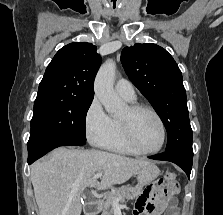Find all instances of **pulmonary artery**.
<instances>
[{"instance_id":"pulmonary-artery-1","label":"pulmonary artery","mask_w":223,"mask_h":215,"mask_svg":"<svg viewBox=\"0 0 223 215\" xmlns=\"http://www.w3.org/2000/svg\"><path fill=\"white\" fill-rule=\"evenodd\" d=\"M115 91L128 101H134L136 99L133 85L124 78H120L116 81Z\"/></svg>"}]
</instances>
